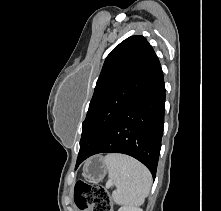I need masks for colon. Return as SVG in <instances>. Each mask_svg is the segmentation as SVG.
<instances>
[{"mask_svg": "<svg viewBox=\"0 0 221 211\" xmlns=\"http://www.w3.org/2000/svg\"><path fill=\"white\" fill-rule=\"evenodd\" d=\"M74 201L81 211H112L110 196L99 184L78 181L74 186Z\"/></svg>", "mask_w": 221, "mask_h": 211, "instance_id": "obj_1", "label": "colon"}]
</instances>
